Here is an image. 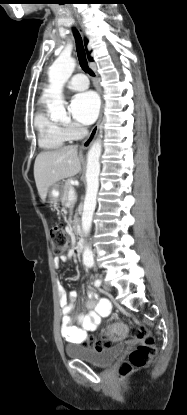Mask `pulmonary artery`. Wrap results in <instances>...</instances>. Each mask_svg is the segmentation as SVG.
Returning <instances> with one entry per match:
<instances>
[{
  "label": "pulmonary artery",
  "instance_id": "pulmonary-artery-1",
  "mask_svg": "<svg viewBox=\"0 0 187 415\" xmlns=\"http://www.w3.org/2000/svg\"><path fill=\"white\" fill-rule=\"evenodd\" d=\"M88 86L89 81L87 77L81 73L73 75L67 83V87L75 91L85 90Z\"/></svg>",
  "mask_w": 187,
  "mask_h": 415
}]
</instances>
